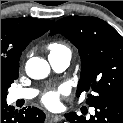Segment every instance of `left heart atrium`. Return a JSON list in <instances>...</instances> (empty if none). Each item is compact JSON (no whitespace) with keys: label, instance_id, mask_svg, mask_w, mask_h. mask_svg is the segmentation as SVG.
Masks as SVG:
<instances>
[{"label":"left heart atrium","instance_id":"left-heart-atrium-1","mask_svg":"<svg viewBox=\"0 0 123 123\" xmlns=\"http://www.w3.org/2000/svg\"><path fill=\"white\" fill-rule=\"evenodd\" d=\"M64 92L63 88L51 90L43 96L42 102L49 108H55L59 104L60 95L64 94Z\"/></svg>","mask_w":123,"mask_h":123}]
</instances>
